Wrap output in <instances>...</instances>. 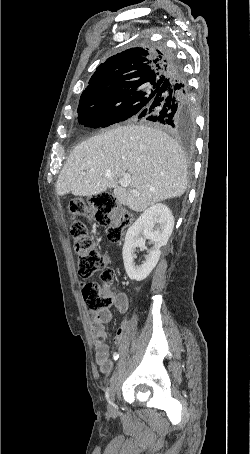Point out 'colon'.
Wrapping results in <instances>:
<instances>
[{"mask_svg": "<svg viewBox=\"0 0 250 454\" xmlns=\"http://www.w3.org/2000/svg\"><path fill=\"white\" fill-rule=\"evenodd\" d=\"M88 203L89 209L80 202L72 203L69 208L72 218L70 233L74 240L77 268L83 278L101 272V279L107 284L114 278V271L109 267V256L97 248L94 237L78 218L88 214L97 224L107 227V237L111 241L121 239L124 229L131 223V218L128 214L118 211L117 201L109 193L92 195ZM82 292L87 308L91 312L107 310L114 303V296L96 282L86 283Z\"/></svg>", "mask_w": 250, "mask_h": 454, "instance_id": "1", "label": "colon"}]
</instances>
